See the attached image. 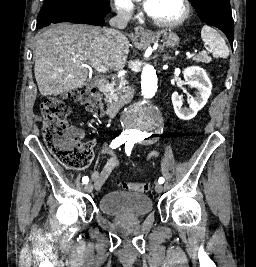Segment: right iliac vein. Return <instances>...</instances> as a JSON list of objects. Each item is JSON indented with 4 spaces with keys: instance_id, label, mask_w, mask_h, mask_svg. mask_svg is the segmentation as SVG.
<instances>
[{
    "instance_id": "obj_1",
    "label": "right iliac vein",
    "mask_w": 256,
    "mask_h": 267,
    "mask_svg": "<svg viewBox=\"0 0 256 267\" xmlns=\"http://www.w3.org/2000/svg\"><path fill=\"white\" fill-rule=\"evenodd\" d=\"M84 190L88 193L92 192L93 191V184L90 182V183H87L84 187Z\"/></svg>"
}]
</instances>
